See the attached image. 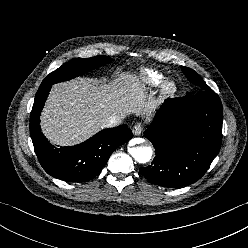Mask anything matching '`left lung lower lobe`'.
Here are the masks:
<instances>
[{
	"mask_svg": "<svg viewBox=\"0 0 248 248\" xmlns=\"http://www.w3.org/2000/svg\"><path fill=\"white\" fill-rule=\"evenodd\" d=\"M144 135L156 157L140 168L151 183L187 186L200 179L220 150L222 104L213 91L167 99Z\"/></svg>",
	"mask_w": 248,
	"mask_h": 248,
	"instance_id": "left-lung-lower-lobe-1",
	"label": "left lung lower lobe"
}]
</instances>
